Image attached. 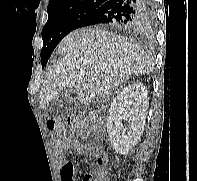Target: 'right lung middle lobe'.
I'll use <instances>...</instances> for the list:
<instances>
[{"label": "right lung middle lobe", "mask_w": 197, "mask_h": 181, "mask_svg": "<svg viewBox=\"0 0 197 181\" xmlns=\"http://www.w3.org/2000/svg\"><path fill=\"white\" fill-rule=\"evenodd\" d=\"M100 4H86L48 14V20L42 29L43 47L41 50V63L45 67L53 50L69 32L78 28L84 18L92 14Z\"/></svg>", "instance_id": "obj_1"}]
</instances>
